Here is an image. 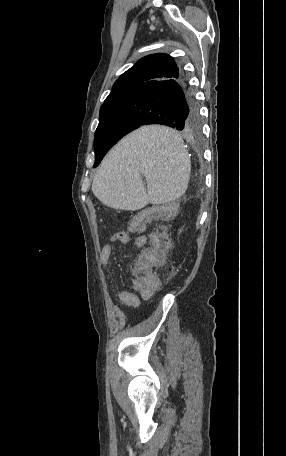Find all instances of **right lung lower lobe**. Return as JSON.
<instances>
[{"mask_svg": "<svg viewBox=\"0 0 286 456\" xmlns=\"http://www.w3.org/2000/svg\"><path fill=\"white\" fill-rule=\"evenodd\" d=\"M126 98L132 106L136 128L163 124L186 134L199 129V110L182 75L138 89Z\"/></svg>", "mask_w": 286, "mask_h": 456, "instance_id": "1", "label": "right lung lower lobe"}]
</instances>
